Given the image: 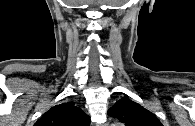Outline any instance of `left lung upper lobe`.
Returning <instances> with one entry per match:
<instances>
[{"instance_id": "obj_1", "label": "left lung upper lobe", "mask_w": 195, "mask_h": 126, "mask_svg": "<svg viewBox=\"0 0 195 126\" xmlns=\"http://www.w3.org/2000/svg\"><path fill=\"white\" fill-rule=\"evenodd\" d=\"M108 114L126 126H163L153 113L126 97L117 101Z\"/></svg>"}]
</instances>
